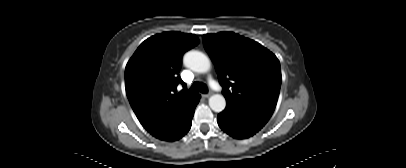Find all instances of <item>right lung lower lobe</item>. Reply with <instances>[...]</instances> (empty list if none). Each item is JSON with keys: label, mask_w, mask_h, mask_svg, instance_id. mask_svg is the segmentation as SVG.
Returning a JSON list of instances; mask_svg holds the SVG:
<instances>
[{"label": "right lung lower lobe", "mask_w": 406, "mask_h": 168, "mask_svg": "<svg viewBox=\"0 0 406 168\" xmlns=\"http://www.w3.org/2000/svg\"><path fill=\"white\" fill-rule=\"evenodd\" d=\"M199 100L200 95L197 96L187 110H185V112L177 119L168 132L159 139L165 141H175L183 137L190 130L194 111Z\"/></svg>", "instance_id": "right-lung-lower-lobe-1"}]
</instances>
